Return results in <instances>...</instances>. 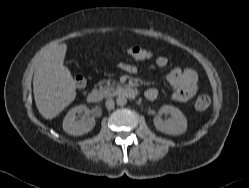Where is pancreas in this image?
Here are the masks:
<instances>
[{
	"instance_id": "pancreas-1",
	"label": "pancreas",
	"mask_w": 249,
	"mask_h": 188,
	"mask_svg": "<svg viewBox=\"0 0 249 188\" xmlns=\"http://www.w3.org/2000/svg\"><path fill=\"white\" fill-rule=\"evenodd\" d=\"M105 83V85H104ZM117 85L116 82H112L111 80H106L105 82H100L99 83V88L100 91L104 94V96L109 97L112 96L114 94L115 91V86Z\"/></svg>"
}]
</instances>
